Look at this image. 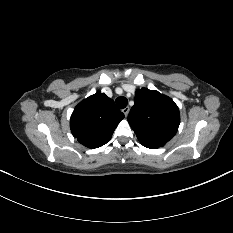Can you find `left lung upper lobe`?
I'll return each mask as SVG.
<instances>
[{
  "label": "left lung upper lobe",
  "mask_w": 233,
  "mask_h": 233,
  "mask_svg": "<svg viewBox=\"0 0 233 233\" xmlns=\"http://www.w3.org/2000/svg\"><path fill=\"white\" fill-rule=\"evenodd\" d=\"M128 122L143 146L162 147L178 130L179 109L168 96L142 88L135 93V104L128 115Z\"/></svg>",
  "instance_id": "1"
}]
</instances>
